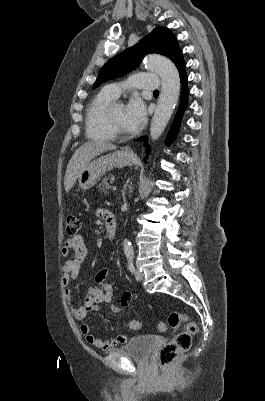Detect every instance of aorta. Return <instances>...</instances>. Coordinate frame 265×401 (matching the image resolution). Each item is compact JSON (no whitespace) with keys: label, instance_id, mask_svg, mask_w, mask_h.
Wrapping results in <instances>:
<instances>
[{"label":"aorta","instance_id":"obj_1","mask_svg":"<svg viewBox=\"0 0 265 401\" xmlns=\"http://www.w3.org/2000/svg\"><path fill=\"white\" fill-rule=\"evenodd\" d=\"M144 64L149 70L157 72L162 80L157 108L150 124V136L157 140L165 130L176 106L180 92V76L174 62L166 56L148 54ZM123 251L124 255H133V247L128 239L123 241Z\"/></svg>","mask_w":265,"mask_h":401}]
</instances>
